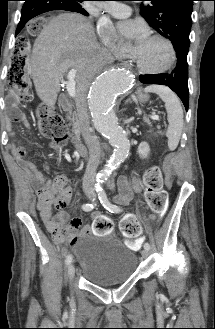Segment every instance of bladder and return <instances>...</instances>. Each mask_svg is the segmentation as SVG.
Returning a JSON list of instances; mask_svg holds the SVG:
<instances>
[{
	"label": "bladder",
	"instance_id": "obj_1",
	"mask_svg": "<svg viewBox=\"0 0 215 329\" xmlns=\"http://www.w3.org/2000/svg\"><path fill=\"white\" fill-rule=\"evenodd\" d=\"M79 276L107 286L129 280L137 269V256L116 237L88 235L75 246Z\"/></svg>",
	"mask_w": 215,
	"mask_h": 329
}]
</instances>
